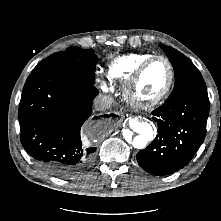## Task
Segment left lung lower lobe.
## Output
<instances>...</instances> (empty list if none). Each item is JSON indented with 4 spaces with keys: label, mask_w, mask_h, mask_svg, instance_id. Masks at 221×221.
Masks as SVG:
<instances>
[{
    "label": "left lung lower lobe",
    "mask_w": 221,
    "mask_h": 221,
    "mask_svg": "<svg viewBox=\"0 0 221 221\" xmlns=\"http://www.w3.org/2000/svg\"><path fill=\"white\" fill-rule=\"evenodd\" d=\"M152 113L158 134L138 152L137 162L152 175L171 174L185 167L204 141L209 114L207 90L167 99Z\"/></svg>",
    "instance_id": "obj_1"
}]
</instances>
